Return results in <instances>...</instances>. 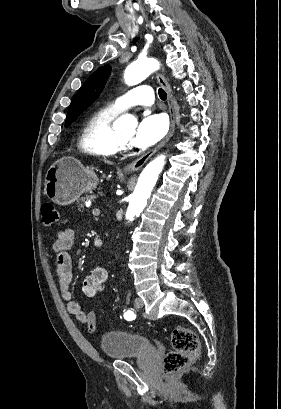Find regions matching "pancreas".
<instances>
[{"label":"pancreas","mask_w":281,"mask_h":409,"mask_svg":"<svg viewBox=\"0 0 281 409\" xmlns=\"http://www.w3.org/2000/svg\"><path fill=\"white\" fill-rule=\"evenodd\" d=\"M99 194H101V192H99ZM91 196L95 198V196H98V194H91ZM91 196H88V194H86V196H83V198H80V200L81 202H85V200H92ZM80 200H78V202H80Z\"/></svg>","instance_id":"pancreas-1"}]
</instances>
